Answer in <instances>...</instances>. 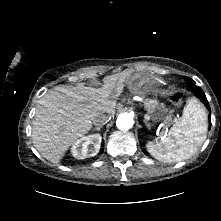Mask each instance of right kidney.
Returning <instances> with one entry per match:
<instances>
[{
	"mask_svg": "<svg viewBox=\"0 0 221 221\" xmlns=\"http://www.w3.org/2000/svg\"><path fill=\"white\" fill-rule=\"evenodd\" d=\"M101 135L91 134L78 139L71 148L73 157L85 159L98 154L101 146Z\"/></svg>",
	"mask_w": 221,
	"mask_h": 221,
	"instance_id": "right-kidney-1",
	"label": "right kidney"
}]
</instances>
